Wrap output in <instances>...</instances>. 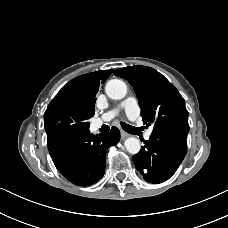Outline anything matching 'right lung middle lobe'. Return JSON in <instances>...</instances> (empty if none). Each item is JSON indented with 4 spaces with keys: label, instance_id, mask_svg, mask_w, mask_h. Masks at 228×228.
Masks as SVG:
<instances>
[{
    "label": "right lung middle lobe",
    "instance_id": "1",
    "mask_svg": "<svg viewBox=\"0 0 228 228\" xmlns=\"http://www.w3.org/2000/svg\"><path fill=\"white\" fill-rule=\"evenodd\" d=\"M90 117L70 103L51 101L44 114L47 143L70 133L88 130Z\"/></svg>",
    "mask_w": 228,
    "mask_h": 228
}]
</instances>
